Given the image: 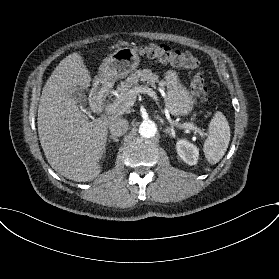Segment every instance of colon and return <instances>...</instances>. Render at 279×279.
I'll return each mask as SVG.
<instances>
[{
    "mask_svg": "<svg viewBox=\"0 0 279 279\" xmlns=\"http://www.w3.org/2000/svg\"><path fill=\"white\" fill-rule=\"evenodd\" d=\"M136 50L142 56L191 70L190 86L193 95L201 101L208 99L207 80L203 71L199 69V60L194 54L174 49L165 44L154 43L139 45Z\"/></svg>",
    "mask_w": 279,
    "mask_h": 279,
    "instance_id": "colon-1",
    "label": "colon"
}]
</instances>
